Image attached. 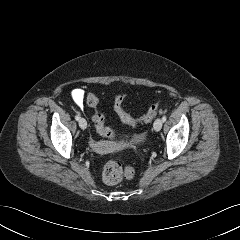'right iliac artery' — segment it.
I'll return each mask as SVG.
<instances>
[{"instance_id":"1","label":"right iliac artery","mask_w":240,"mask_h":240,"mask_svg":"<svg viewBox=\"0 0 240 240\" xmlns=\"http://www.w3.org/2000/svg\"><path fill=\"white\" fill-rule=\"evenodd\" d=\"M75 119H76L77 121H79L80 116H79V115H76V116H75Z\"/></svg>"}]
</instances>
